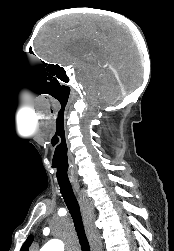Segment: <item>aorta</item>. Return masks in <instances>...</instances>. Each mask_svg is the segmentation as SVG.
<instances>
[{"label": "aorta", "mask_w": 174, "mask_h": 251, "mask_svg": "<svg viewBox=\"0 0 174 251\" xmlns=\"http://www.w3.org/2000/svg\"><path fill=\"white\" fill-rule=\"evenodd\" d=\"M63 244L57 240L47 242L40 251H63Z\"/></svg>", "instance_id": "aorta-1"}]
</instances>
